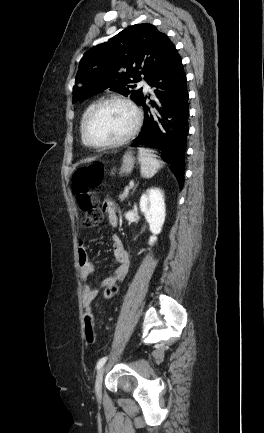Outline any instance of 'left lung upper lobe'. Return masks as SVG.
Masks as SVG:
<instances>
[{"instance_id": "1", "label": "left lung upper lobe", "mask_w": 264, "mask_h": 433, "mask_svg": "<svg viewBox=\"0 0 264 433\" xmlns=\"http://www.w3.org/2000/svg\"><path fill=\"white\" fill-rule=\"evenodd\" d=\"M174 44L152 24H136L85 53L79 64L73 103L105 89L138 103L141 74L148 81L164 64Z\"/></svg>"}]
</instances>
